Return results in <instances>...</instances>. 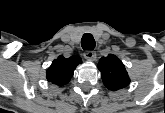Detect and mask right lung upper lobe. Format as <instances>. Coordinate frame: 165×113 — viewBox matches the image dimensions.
I'll return each mask as SVG.
<instances>
[{
    "label": "right lung upper lobe",
    "mask_w": 165,
    "mask_h": 113,
    "mask_svg": "<svg viewBox=\"0 0 165 113\" xmlns=\"http://www.w3.org/2000/svg\"><path fill=\"white\" fill-rule=\"evenodd\" d=\"M74 69V57L66 59L59 56L47 70V79L53 84H65L72 77Z\"/></svg>",
    "instance_id": "right-lung-upper-lobe-1"
}]
</instances>
